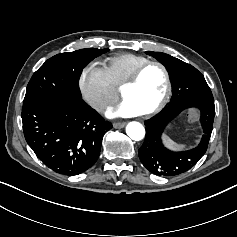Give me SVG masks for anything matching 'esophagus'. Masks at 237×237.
Segmentation results:
<instances>
[{
  "label": "esophagus",
  "mask_w": 237,
  "mask_h": 237,
  "mask_svg": "<svg viewBox=\"0 0 237 237\" xmlns=\"http://www.w3.org/2000/svg\"><path fill=\"white\" fill-rule=\"evenodd\" d=\"M126 125V122H115L113 123V127L116 129L123 128Z\"/></svg>",
  "instance_id": "1"
}]
</instances>
